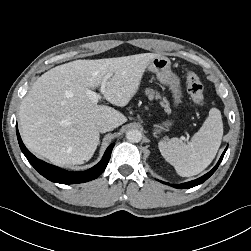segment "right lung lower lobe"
<instances>
[{"label": "right lung lower lobe", "instance_id": "1", "mask_svg": "<svg viewBox=\"0 0 251 251\" xmlns=\"http://www.w3.org/2000/svg\"><path fill=\"white\" fill-rule=\"evenodd\" d=\"M17 138L19 142V146L26 156L30 164L45 178L52 182L61 183V184H77L83 183L97 178L102 172L105 170L112 149L115 144H111L108 146L107 150L104 153L102 160L96 164L94 167L81 172H70L48 164L42 160L36 158L31 152L23 144L21 137L19 135L18 129L16 128Z\"/></svg>", "mask_w": 251, "mask_h": 251}]
</instances>
